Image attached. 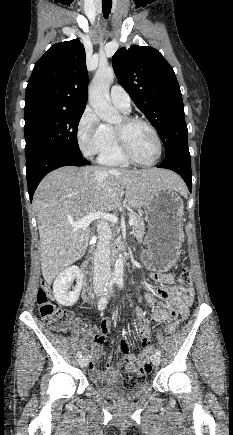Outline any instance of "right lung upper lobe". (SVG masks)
I'll return each instance as SVG.
<instances>
[{
    "label": "right lung upper lobe",
    "instance_id": "obj_1",
    "mask_svg": "<svg viewBox=\"0 0 233 435\" xmlns=\"http://www.w3.org/2000/svg\"><path fill=\"white\" fill-rule=\"evenodd\" d=\"M88 74L83 44H54L35 63L25 96V117L44 111L85 109Z\"/></svg>",
    "mask_w": 233,
    "mask_h": 435
}]
</instances>
